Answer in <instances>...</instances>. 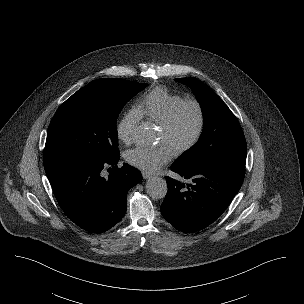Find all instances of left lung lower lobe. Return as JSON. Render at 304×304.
Masks as SVG:
<instances>
[{"label":"left lung lower lobe","instance_id":"obj_1","mask_svg":"<svg viewBox=\"0 0 304 304\" xmlns=\"http://www.w3.org/2000/svg\"><path fill=\"white\" fill-rule=\"evenodd\" d=\"M171 170L192 183L185 186L167 177L168 193L161 213L174 228L185 233L213 223L238 193L245 176V167L233 164L195 170L174 162Z\"/></svg>","mask_w":304,"mask_h":304}]
</instances>
